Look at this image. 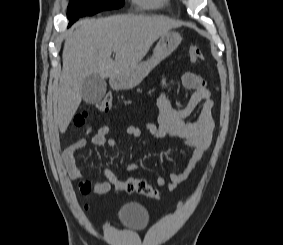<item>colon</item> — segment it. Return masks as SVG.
Listing matches in <instances>:
<instances>
[{
    "label": "colon",
    "mask_w": 283,
    "mask_h": 245,
    "mask_svg": "<svg viewBox=\"0 0 283 245\" xmlns=\"http://www.w3.org/2000/svg\"><path fill=\"white\" fill-rule=\"evenodd\" d=\"M188 57L191 62L201 61L204 59L203 53L197 46H191L188 50ZM96 109L101 112H107L112 107V96L107 95L101 101H99L95 105ZM87 113L84 112L75 117L74 123L76 126H84L87 118ZM80 191L84 195H88L91 186L87 181H81L79 183ZM116 189L126 191L129 193L136 192L143 196L159 199V192L153 188L147 181L138 178H128V179H120L119 182L115 186Z\"/></svg>",
    "instance_id": "1"
}]
</instances>
